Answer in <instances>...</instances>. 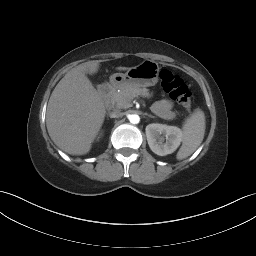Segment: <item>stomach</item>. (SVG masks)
<instances>
[{
    "label": "stomach",
    "mask_w": 256,
    "mask_h": 256,
    "mask_svg": "<svg viewBox=\"0 0 256 256\" xmlns=\"http://www.w3.org/2000/svg\"><path fill=\"white\" fill-rule=\"evenodd\" d=\"M159 65L152 60H145L127 70L126 73H114L110 76V84L119 89L126 87H150L158 82Z\"/></svg>",
    "instance_id": "1"
}]
</instances>
